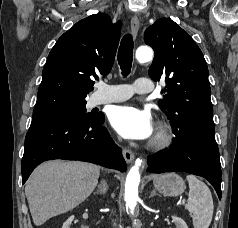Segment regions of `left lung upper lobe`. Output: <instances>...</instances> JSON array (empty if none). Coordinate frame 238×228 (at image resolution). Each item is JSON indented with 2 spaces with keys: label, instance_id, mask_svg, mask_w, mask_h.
Wrapping results in <instances>:
<instances>
[{
  "label": "left lung upper lobe",
  "instance_id": "obj_1",
  "mask_svg": "<svg viewBox=\"0 0 238 228\" xmlns=\"http://www.w3.org/2000/svg\"><path fill=\"white\" fill-rule=\"evenodd\" d=\"M144 40L155 52L149 76L166 82L158 103L173 128L214 131L208 68L194 40L168 18L147 28Z\"/></svg>",
  "mask_w": 238,
  "mask_h": 228
}]
</instances>
